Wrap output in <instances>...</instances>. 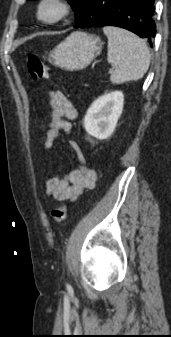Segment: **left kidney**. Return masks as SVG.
Here are the masks:
<instances>
[{
  "mask_svg": "<svg viewBox=\"0 0 171 337\" xmlns=\"http://www.w3.org/2000/svg\"><path fill=\"white\" fill-rule=\"evenodd\" d=\"M124 95L120 91L105 94L96 99L84 117L87 133L103 140L112 135L122 113Z\"/></svg>",
  "mask_w": 171,
  "mask_h": 337,
  "instance_id": "left-kidney-1",
  "label": "left kidney"
}]
</instances>
